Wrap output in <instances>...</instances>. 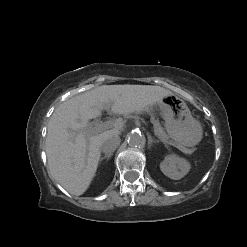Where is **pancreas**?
I'll return each instance as SVG.
<instances>
[{"label": "pancreas", "instance_id": "1", "mask_svg": "<svg viewBox=\"0 0 247 247\" xmlns=\"http://www.w3.org/2000/svg\"><path fill=\"white\" fill-rule=\"evenodd\" d=\"M153 124H154V131L157 133V136L161 139H164L166 142H169V136L165 133V131L163 130V128L160 126L158 121L153 120ZM169 143H172L173 145H175L174 142L170 141ZM178 148H180L182 151H184L187 154H191L193 152L192 149H188L180 144L177 145Z\"/></svg>", "mask_w": 247, "mask_h": 247}]
</instances>
